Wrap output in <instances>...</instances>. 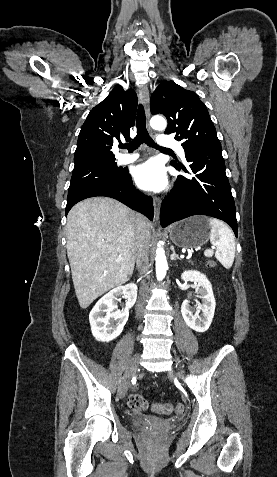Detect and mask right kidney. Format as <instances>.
<instances>
[{
    "instance_id": "ca27d5eb",
    "label": "right kidney",
    "mask_w": 277,
    "mask_h": 477,
    "mask_svg": "<svg viewBox=\"0 0 277 477\" xmlns=\"http://www.w3.org/2000/svg\"><path fill=\"white\" fill-rule=\"evenodd\" d=\"M137 289L134 283L118 286L96 303L89 314V321L92 334L97 341L109 342L121 334L129 317V309L136 302ZM121 297L127 299L122 311L118 310L117 306ZM111 321H115L116 325H112Z\"/></svg>"
}]
</instances>
